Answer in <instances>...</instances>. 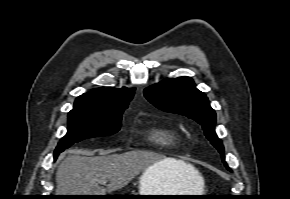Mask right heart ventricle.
Returning <instances> with one entry per match:
<instances>
[{"label": "right heart ventricle", "instance_id": "1", "mask_svg": "<svg viewBox=\"0 0 290 199\" xmlns=\"http://www.w3.org/2000/svg\"><path fill=\"white\" fill-rule=\"evenodd\" d=\"M150 137L155 142H158L162 145H169L178 142V135L175 131L154 126L150 129Z\"/></svg>", "mask_w": 290, "mask_h": 199}]
</instances>
